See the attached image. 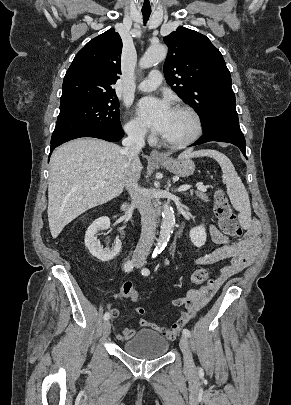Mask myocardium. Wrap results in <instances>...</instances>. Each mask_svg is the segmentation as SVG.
<instances>
[{"label":"myocardium","mask_w":291,"mask_h":405,"mask_svg":"<svg viewBox=\"0 0 291 405\" xmlns=\"http://www.w3.org/2000/svg\"><path fill=\"white\" fill-rule=\"evenodd\" d=\"M174 109L184 111L191 117L194 125L193 132L186 139L179 141L168 140L163 136H161L160 140L164 145L170 148H184L193 144L201 136L203 131L202 120L196 110L188 105L178 104L174 107Z\"/></svg>","instance_id":"myocardium-1"}]
</instances>
